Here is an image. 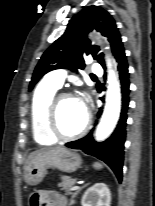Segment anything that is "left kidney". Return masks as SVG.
<instances>
[{
  "label": "left kidney",
  "mask_w": 155,
  "mask_h": 206,
  "mask_svg": "<svg viewBox=\"0 0 155 206\" xmlns=\"http://www.w3.org/2000/svg\"><path fill=\"white\" fill-rule=\"evenodd\" d=\"M111 193L105 183H96L86 190L81 204L82 206H110Z\"/></svg>",
  "instance_id": "obj_1"
}]
</instances>
